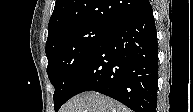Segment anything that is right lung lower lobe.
<instances>
[{"instance_id": "right-lung-lower-lobe-1", "label": "right lung lower lobe", "mask_w": 193, "mask_h": 112, "mask_svg": "<svg viewBox=\"0 0 193 112\" xmlns=\"http://www.w3.org/2000/svg\"><path fill=\"white\" fill-rule=\"evenodd\" d=\"M157 85V35L148 1L99 40L77 73L67 100L93 90L135 112H156Z\"/></svg>"}]
</instances>
